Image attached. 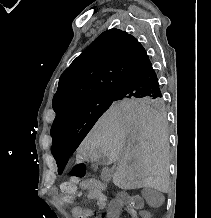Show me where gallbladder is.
<instances>
[{
    "mask_svg": "<svg viewBox=\"0 0 211 218\" xmlns=\"http://www.w3.org/2000/svg\"><path fill=\"white\" fill-rule=\"evenodd\" d=\"M107 166V158H101V160H99V162H97V164H92V168H94V170H98V166Z\"/></svg>",
    "mask_w": 211,
    "mask_h": 218,
    "instance_id": "bac80fb5",
    "label": "gallbladder"
}]
</instances>
